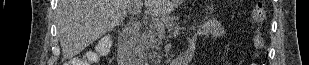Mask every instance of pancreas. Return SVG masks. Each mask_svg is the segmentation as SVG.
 <instances>
[{
	"label": "pancreas",
	"instance_id": "obj_1",
	"mask_svg": "<svg viewBox=\"0 0 309 65\" xmlns=\"http://www.w3.org/2000/svg\"><path fill=\"white\" fill-rule=\"evenodd\" d=\"M163 30L150 24L149 28L137 37L135 48L137 53L145 57L148 55V58L151 60L156 57L161 49Z\"/></svg>",
	"mask_w": 309,
	"mask_h": 65
}]
</instances>
